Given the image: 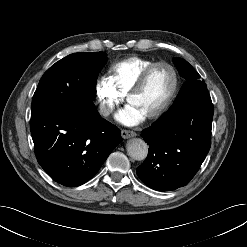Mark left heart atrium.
I'll return each instance as SVG.
<instances>
[{"mask_svg": "<svg viewBox=\"0 0 247 247\" xmlns=\"http://www.w3.org/2000/svg\"><path fill=\"white\" fill-rule=\"evenodd\" d=\"M146 116L140 112L135 106L128 104L117 115L116 119L123 125L135 126L142 123Z\"/></svg>", "mask_w": 247, "mask_h": 247, "instance_id": "1", "label": "left heart atrium"}]
</instances>
